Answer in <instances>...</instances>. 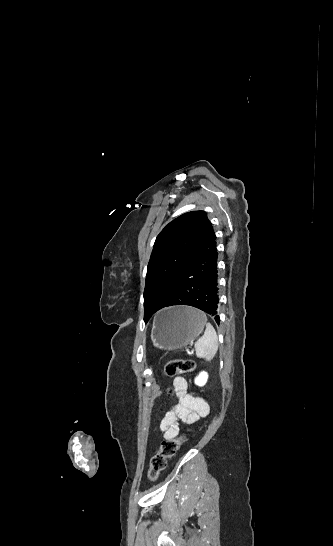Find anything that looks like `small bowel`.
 Listing matches in <instances>:
<instances>
[{
    "mask_svg": "<svg viewBox=\"0 0 333 546\" xmlns=\"http://www.w3.org/2000/svg\"><path fill=\"white\" fill-rule=\"evenodd\" d=\"M173 388L178 401L166 412L160 423L165 439L175 438L179 434L180 423L194 425L210 412L207 402L188 392V382L184 377H176Z\"/></svg>",
    "mask_w": 333,
    "mask_h": 546,
    "instance_id": "1",
    "label": "small bowel"
}]
</instances>
